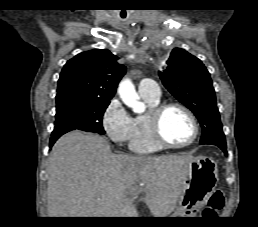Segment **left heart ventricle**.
<instances>
[{
    "label": "left heart ventricle",
    "instance_id": "b2bd125f",
    "mask_svg": "<svg viewBox=\"0 0 258 227\" xmlns=\"http://www.w3.org/2000/svg\"><path fill=\"white\" fill-rule=\"evenodd\" d=\"M162 132L173 143H184L193 135V126L189 117L180 109L171 108L162 118Z\"/></svg>",
    "mask_w": 258,
    "mask_h": 227
}]
</instances>
